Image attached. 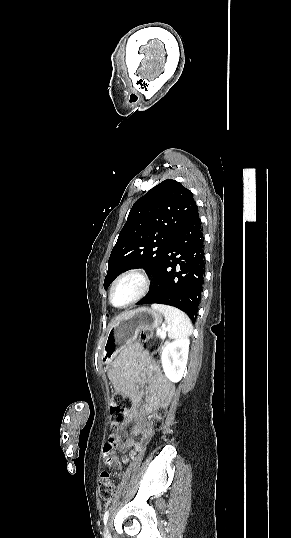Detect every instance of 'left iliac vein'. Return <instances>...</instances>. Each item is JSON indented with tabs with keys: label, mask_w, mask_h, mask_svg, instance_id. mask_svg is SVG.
I'll use <instances>...</instances> for the list:
<instances>
[{
	"label": "left iliac vein",
	"mask_w": 291,
	"mask_h": 538,
	"mask_svg": "<svg viewBox=\"0 0 291 538\" xmlns=\"http://www.w3.org/2000/svg\"><path fill=\"white\" fill-rule=\"evenodd\" d=\"M105 538H110L109 530L105 527Z\"/></svg>",
	"instance_id": "left-iliac-vein-1"
}]
</instances>
